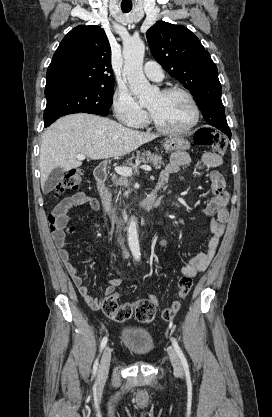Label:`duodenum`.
I'll return each mask as SVG.
<instances>
[{
    "instance_id": "1",
    "label": "duodenum",
    "mask_w": 272,
    "mask_h": 417,
    "mask_svg": "<svg viewBox=\"0 0 272 417\" xmlns=\"http://www.w3.org/2000/svg\"><path fill=\"white\" fill-rule=\"evenodd\" d=\"M109 171V166L106 163H103L97 166L94 170V178L98 186L99 195L103 204V207L109 214L114 213V206L112 202V197L108 191L105 182L107 179ZM163 184L159 183L156 188L138 205V208L142 211L150 210L154 208L159 200V193Z\"/></svg>"
}]
</instances>
